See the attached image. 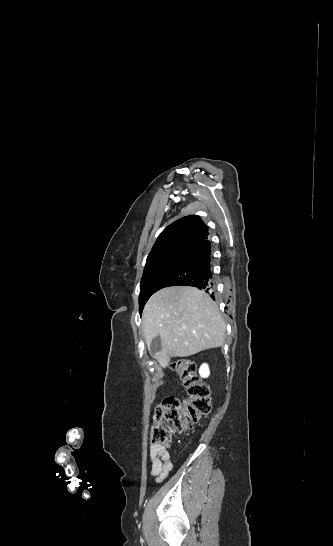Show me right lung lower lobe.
I'll use <instances>...</instances> for the list:
<instances>
[{
	"label": "right lung lower lobe",
	"mask_w": 333,
	"mask_h": 546,
	"mask_svg": "<svg viewBox=\"0 0 333 546\" xmlns=\"http://www.w3.org/2000/svg\"><path fill=\"white\" fill-rule=\"evenodd\" d=\"M211 263V243L207 239L189 249L160 277L155 292L168 286H193L205 290L215 299Z\"/></svg>",
	"instance_id": "right-lung-lower-lobe-1"
}]
</instances>
